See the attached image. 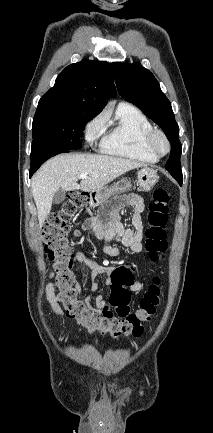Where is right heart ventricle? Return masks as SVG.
Wrapping results in <instances>:
<instances>
[{"instance_id": "1", "label": "right heart ventricle", "mask_w": 213, "mask_h": 433, "mask_svg": "<svg viewBox=\"0 0 213 433\" xmlns=\"http://www.w3.org/2000/svg\"><path fill=\"white\" fill-rule=\"evenodd\" d=\"M153 127L136 107L120 103L112 120L105 119L100 151L104 154L154 163L158 157L145 145L146 133Z\"/></svg>"}]
</instances>
